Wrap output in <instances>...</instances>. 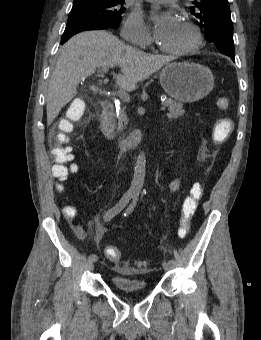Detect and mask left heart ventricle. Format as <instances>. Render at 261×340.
<instances>
[{
    "mask_svg": "<svg viewBox=\"0 0 261 340\" xmlns=\"http://www.w3.org/2000/svg\"><path fill=\"white\" fill-rule=\"evenodd\" d=\"M193 42L191 31L183 24L168 38L161 41V44L168 49H183L190 46Z\"/></svg>",
    "mask_w": 261,
    "mask_h": 340,
    "instance_id": "b2bd125f",
    "label": "left heart ventricle"
}]
</instances>
